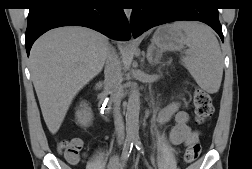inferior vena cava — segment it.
I'll return each instance as SVG.
<instances>
[{
    "label": "inferior vena cava",
    "instance_id": "1",
    "mask_svg": "<svg viewBox=\"0 0 252 169\" xmlns=\"http://www.w3.org/2000/svg\"><path fill=\"white\" fill-rule=\"evenodd\" d=\"M122 65L116 50L109 45L106 52L105 63V84L111 90V96L114 103L113 116L117 134L118 143L121 145L125 138V126L120 111L122 90L120 87Z\"/></svg>",
    "mask_w": 252,
    "mask_h": 169
}]
</instances>
